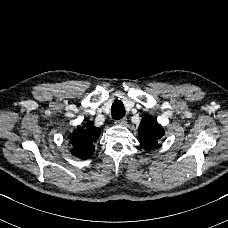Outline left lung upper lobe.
Here are the masks:
<instances>
[{
	"label": "left lung upper lobe",
	"instance_id": "left-lung-upper-lobe-1",
	"mask_svg": "<svg viewBox=\"0 0 228 228\" xmlns=\"http://www.w3.org/2000/svg\"><path fill=\"white\" fill-rule=\"evenodd\" d=\"M164 135L162 126L150 115L145 116L139 125L138 140L145 149L153 148Z\"/></svg>",
	"mask_w": 228,
	"mask_h": 228
}]
</instances>
